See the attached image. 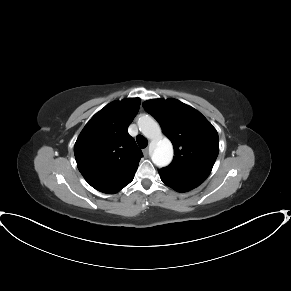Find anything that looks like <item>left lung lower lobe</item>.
<instances>
[{
    "mask_svg": "<svg viewBox=\"0 0 291 291\" xmlns=\"http://www.w3.org/2000/svg\"><path fill=\"white\" fill-rule=\"evenodd\" d=\"M161 180L168 185L169 187L175 189L176 191L179 192H186L189 191L195 187L198 186V184H192V183H182V182H178V181H174L171 179H167L165 177L161 176Z\"/></svg>",
    "mask_w": 291,
    "mask_h": 291,
    "instance_id": "1",
    "label": "left lung lower lobe"
}]
</instances>
